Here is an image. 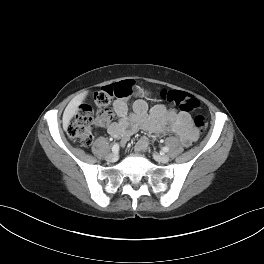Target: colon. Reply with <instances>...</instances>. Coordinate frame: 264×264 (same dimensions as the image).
<instances>
[{
  "mask_svg": "<svg viewBox=\"0 0 264 264\" xmlns=\"http://www.w3.org/2000/svg\"><path fill=\"white\" fill-rule=\"evenodd\" d=\"M133 93V83L129 80L121 81L104 87L95 95V104L98 111L94 113L88 105H82L76 116L68 125L69 137L82 146H88L94 136V128L108 124L112 119V111L109 108L113 98L124 99ZM161 97L178 107L184 112H194V124L196 129L203 133L208 127V120L202 113L198 99L193 95L179 90H162Z\"/></svg>",
  "mask_w": 264,
  "mask_h": 264,
  "instance_id": "obj_1",
  "label": "colon"
}]
</instances>
